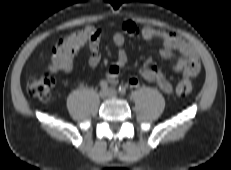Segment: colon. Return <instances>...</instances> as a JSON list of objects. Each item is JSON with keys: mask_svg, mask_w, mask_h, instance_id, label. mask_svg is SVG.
I'll use <instances>...</instances> for the list:
<instances>
[{"mask_svg": "<svg viewBox=\"0 0 231 170\" xmlns=\"http://www.w3.org/2000/svg\"><path fill=\"white\" fill-rule=\"evenodd\" d=\"M99 36L98 30L87 26L72 32L60 40L54 47L50 57V70L52 72L67 71L71 67L73 55L86 43ZM55 79L51 75L31 79L27 83L29 94L43 103H49L52 99V91ZM193 85L188 79H181L176 85L178 96L184 97L192 93Z\"/></svg>", "mask_w": 231, "mask_h": 170, "instance_id": "obj_1", "label": "colon"}]
</instances>
